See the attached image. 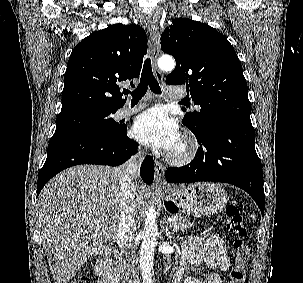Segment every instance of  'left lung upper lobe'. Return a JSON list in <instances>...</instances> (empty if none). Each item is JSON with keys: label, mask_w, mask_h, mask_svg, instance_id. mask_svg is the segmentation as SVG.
<instances>
[{"label": "left lung upper lobe", "mask_w": 303, "mask_h": 283, "mask_svg": "<svg viewBox=\"0 0 303 283\" xmlns=\"http://www.w3.org/2000/svg\"><path fill=\"white\" fill-rule=\"evenodd\" d=\"M172 23L161 34L163 52L176 60L166 83L186 84L188 95L201 108L186 113L182 123L200 133L216 121L251 122L247 82L227 38L192 19L175 18Z\"/></svg>", "instance_id": "left-lung-upper-lobe-1"}]
</instances>
